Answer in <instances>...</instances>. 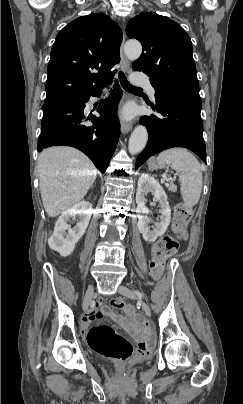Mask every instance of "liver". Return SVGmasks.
I'll return each mask as SVG.
<instances>
[{"label": "liver", "instance_id": "liver-1", "mask_svg": "<svg viewBox=\"0 0 243 404\" xmlns=\"http://www.w3.org/2000/svg\"><path fill=\"white\" fill-rule=\"evenodd\" d=\"M37 168L44 210L50 218L79 204L97 176L91 160L68 146L43 150Z\"/></svg>", "mask_w": 243, "mask_h": 404}]
</instances>
